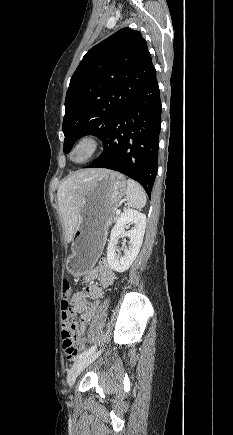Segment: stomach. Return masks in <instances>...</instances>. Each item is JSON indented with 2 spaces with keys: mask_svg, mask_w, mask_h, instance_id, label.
Masks as SVG:
<instances>
[{
  "mask_svg": "<svg viewBox=\"0 0 233 435\" xmlns=\"http://www.w3.org/2000/svg\"><path fill=\"white\" fill-rule=\"evenodd\" d=\"M125 192V177L111 170L97 178L87 190L72 236L71 253L66 260L67 270L74 277H81L93 268Z\"/></svg>",
  "mask_w": 233,
  "mask_h": 435,
  "instance_id": "1",
  "label": "stomach"
}]
</instances>
